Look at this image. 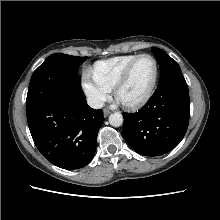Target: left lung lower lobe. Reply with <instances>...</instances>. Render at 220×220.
Segmentation results:
<instances>
[{
  "instance_id": "obj_1",
  "label": "left lung lower lobe",
  "mask_w": 220,
  "mask_h": 220,
  "mask_svg": "<svg viewBox=\"0 0 220 220\" xmlns=\"http://www.w3.org/2000/svg\"><path fill=\"white\" fill-rule=\"evenodd\" d=\"M190 99L187 83L178 78L158 86L138 112L123 114L122 135L140 155L158 156L173 150L189 124Z\"/></svg>"
}]
</instances>
